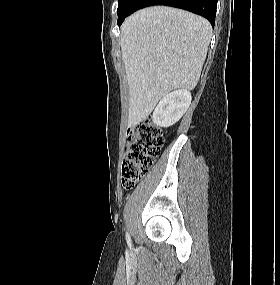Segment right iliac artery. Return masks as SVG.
<instances>
[{"mask_svg":"<svg viewBox=\"0 0 280 285\" xmlns=\"http://www.w3.org/2000/svg\"><path fill=\"white\" fill-rule=\"evenodd\" d=\"M126 238H127L128 241H130V236H129L128 233L126 234Z\"/></svg>","mask_w":280,"mask_h":285,"instance_id":"obj_1","label":"right iliac artery"}]
</instances>
